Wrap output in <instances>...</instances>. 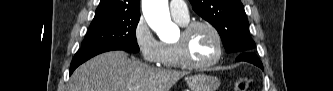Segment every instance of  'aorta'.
Listing matches in <instances>:
<instances>
[{
	"label": "aorta",
	"instance_id": "762f6f07",
	"mask_svg": "<svg viewBox=\"0 0 333 91\" xmlns=\"http://www.w3.org/2000/svg\"><path fill=\"white\" fill-rule=\"evenodd\" d=\"M142 11L148 25L161 40L166 41L177 32V26L170 18L168 0H143Z\"/></svg>",
	"mask_w": 333,
	"mask_h": 91
}]
</instances>
